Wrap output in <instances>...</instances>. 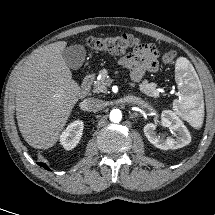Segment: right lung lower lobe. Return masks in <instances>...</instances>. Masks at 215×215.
<instances>
[{
  "instance_id": "obj_1",
  "label": "right lung lower lobe",
  "mask_w": 215,
  "mask_h": 215,
  "mask_svg": "<svg viewBox=\"0 0 215 215\" xmlns=\"http://www.w3.org/2000/svg\"><path fill=\"white\" fill-rule=\"evenodd\" d=\"M37 164L40 165V166H42V167H44V168L47 169V170H50V169L48 168V166H47L46 164H44V163L38 162Z\"/></svg>"
}]
</instances>
